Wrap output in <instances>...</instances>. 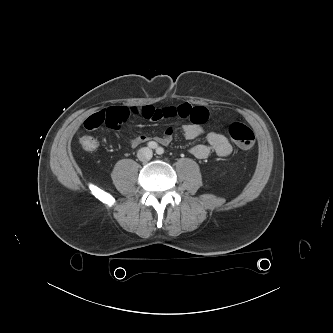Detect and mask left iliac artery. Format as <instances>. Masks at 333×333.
<instances>
[{
    "label": "left iliac artery",
    "mask_w": 333,
    "mask_h": 333,
    "mask_svg": "<svg viewBox=\"0 0 333 333\" xmlns=\"http://www.w3.org/2000/svg\"><path fill=\"white\" fill-rule=\"evenodd\" d=\"M156 153L159 154V155H161V154L164 153V149H163L162 147H158V148L156 149Z\"/></svg>",
    "instance_id": "left-iliac-artery-1"
}]
</instances>
